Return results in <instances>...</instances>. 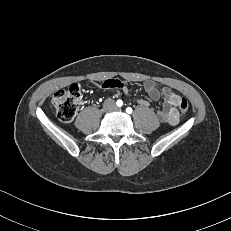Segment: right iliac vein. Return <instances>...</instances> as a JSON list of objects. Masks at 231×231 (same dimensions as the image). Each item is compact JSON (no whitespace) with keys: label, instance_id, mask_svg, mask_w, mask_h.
<instances>
[{"label":"right iliac vein","instance_id":"obj_1","mask_svg":"<svg viewBox=\"0 0 231 231\" xmlns=\"http://www.w3.org/2000/svg\"><path fill=\"white\" fill-rule=\"evenodd\" d=\"M109 108H110V107H109V106H107V107L105 108V110H109Z\"/></svg>","mask_w":231,"mask_h":231}]
</instances>
